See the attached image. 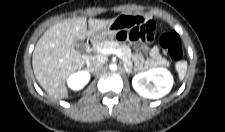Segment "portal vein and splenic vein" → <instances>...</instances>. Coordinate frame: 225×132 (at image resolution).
I'll list each match as a JSON object with an SVG mask.
<instances>
[{
  "mask_svg": "<svg viewBox=\"0 0 225 132\" xmlns=\"http://www.w3.org/2000/svg\"><path fill=\"white\" fill-rule=\"evenodd\" d=\"M99 53L102 55L116 54L120 59H122L121 51L114 48H106V49L100 50Z\"/></svg>",
  "mask_w": 225,
  "mask_h": 132,
  "instance_id": "portal-vein-and-splenic-vein-1",
  "label": "portal vein and splenic vein"
}]
</instances>
